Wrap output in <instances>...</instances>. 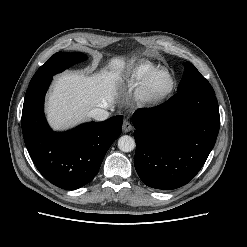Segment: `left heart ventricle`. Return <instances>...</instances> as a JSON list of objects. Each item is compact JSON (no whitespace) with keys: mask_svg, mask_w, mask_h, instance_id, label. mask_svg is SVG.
<instances>
[{"mask_svg":"<svg viewBox=\"0 0 247 247\" xmlns=\"http://www.w3.org/2000/svg\"><path fill=\"white\" fill-rule=\"evenodd\" d=\"M170 84L171 81L165 73H156L147 84V93L151 97H159L168 91Z\"/></svg>","mask_w":247,"mask_h":247,"instance_id":"obj_1","label":"left heart ventricle"}]
</instances>
